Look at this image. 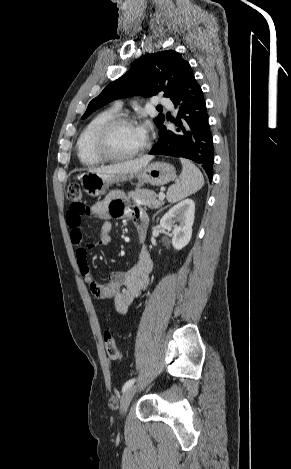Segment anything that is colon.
I'll list each match as a JSON object with an SVG mask.
<instances>
[{"mask_svg": "<svg viewBox=\"0 0 291 469\" xmlns=\"http://www.w3.org/2000/svg\"><path fill=\"white\" fill-rule=\"evenodd\" d=\"M67 199L71 202V207L79 213L88 215L89 208L82 204V190L78 184H71L67 190ZM104 343L107 355L112 360H118L121 357L120 350L116 341L109 331L104 333Z\"/></svg>", "mask_w": 291, "mask_h": 469, "instance_id": "1", "label": "colon"}]
</instances>
